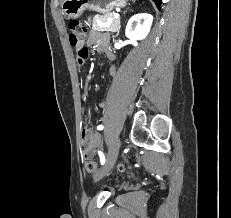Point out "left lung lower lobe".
I'll return each mask as SVG.
<instances>
[{
  "instance_id": "left-lung-lower-lobe-1",
  "label": "left lung lower lobe",
  "mask_w": 231,
  "mask_h": 218,
  "mask_svg": "<svg viewBox=\"0 0 231 218\" xmlns=\"http://www.w3.org/2000/svg\"><path fill=\"white\" fill-rule=\"evenodd\" d=\"M158 8H160L162 0H153Z\"/></svg>"
}]
</instances>
